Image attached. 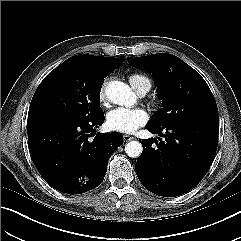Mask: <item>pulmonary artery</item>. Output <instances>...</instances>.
Masks as SVG:
<instances>
[{"label": "pulmonary artery", "mask_w": 241, "mask_h": 241, "mask_svg": "<svg viewBox=\"0 0 241 241\" xmlns=\"http://www.w3.org/2000/svg\"><path fill=\"white\" fill-rule=\"evenodd\" d=\"M147 91H148V89H147V88H144V89H141V90L138 92V94H139L140 96H143V95H145V94L147 93Z\"/></svg>", "instance_id": "e3ab8cb5"}]
</instances>
